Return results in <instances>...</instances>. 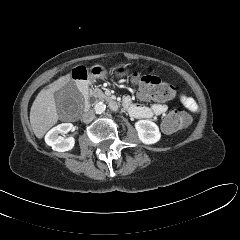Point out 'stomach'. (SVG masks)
Masks as SVG:
<instances>
[{
	"mask_svg": "<svg viewBox=\"0 0 240 240\" xmlns=\"http://www.w3.org/2000/svg\"><path fill=\"white\" fill-rule=\"evenodd\" d=\"M115 71L118 75H123L127 72V65H118L115 67ZM89 75L92 80L103 79L107 77V70L101 65H94L90 68Z\"/></svg>",
	"mask_w": 240,
	"mask_h": 240,
	"instance_id": "stomach-1",
	"label": "stomach"
}]
</instances>
